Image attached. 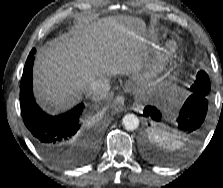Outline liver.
Masks as SVG:
<instances>
[{"instance_id":"6515ba94","label":"liver","mask_w":223,"mask_h":188,"mask_svg":"<svg viewBox=\"0 0 223 188\" xmlns=\"http://www.w3.org/2000/svg\"><path fill=\"white\" fill-rule=\"evenodd\" d=\"M144 22L132 16L84 21L39 49L34 68V92L39 103L54 112L78 100L96 78L129 75L141 68L133 29Z\"/></svg>"}]
</instances>
